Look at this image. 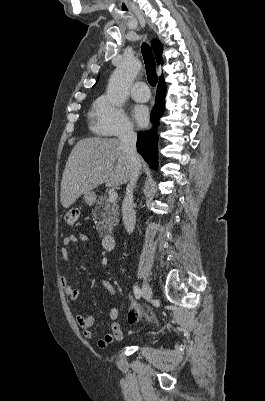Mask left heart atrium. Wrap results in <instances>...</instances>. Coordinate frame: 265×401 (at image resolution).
I'll return each mask as SVG.
<instances>
[{
    "mask_svg": "<svg viewBox=\"0 0 265 401\" xmlns=\"http://www.w3.org/2000/svg\"><path fill=\"white\" fill-rule=\"evenodd\" d=\"M132 115L139 125H144L148 121L149 110L141 104H134L132 107Z\"/></svg>",
    "mask_w": 265,
    "mask_h": 401,
    "instance_id": "obj_1",
    "label": "left heart atrium"
}]
</instances>
